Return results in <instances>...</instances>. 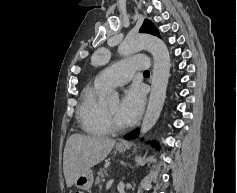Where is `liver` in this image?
<instances>
[{"instance_id": "1", "label": "liver", "mask_w": 237, "mask_h": 193, "mask_svg": "<svg viewBox=\"0 0 237 193\" xmlns=\"http://www.w3.org/2000/svg\"><path fill=\"white\" fill-rule=\"evenodd\" d=\"M116 140L101 136L72 134L65 145L63 171L67 187H71L78 176L102 162L114 147Z\"/></svg>"}]
</instances>
